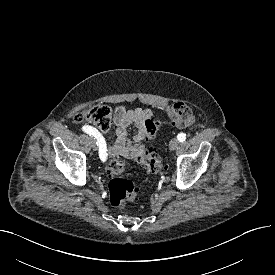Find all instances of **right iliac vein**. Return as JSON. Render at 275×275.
Instances as JSON below:
<instances>
[{
  "label": "right iliac vein",
  "mask_w": 275,
  "mask_h": 275,
  "mask_svg": "<svg viewBox=\"0 0 275 275\" xmlns=\"http://www.w3.org/2000/svg\"><path fill=\"white\" fill-rule=\"evenodd\" d=\"M91 147L93 150H97V148H98L97 141L95 138H91Z\"/></svg>",
  "instance_id": "63e3f726"
}]
</instances>
